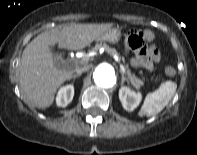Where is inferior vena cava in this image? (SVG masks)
I'll use <instances>...</instances> for the list:
<instances>
[{
  "mask_svg": "<svg viewBox=\"0 0 197 155\" xmlns=\"http://www.w3.org/2000/svg\"><path fill=\"white\" fill-rule=\"evenodd\" d=\"M89 69L88 65H85L83 67L77 68L75 71L77 72V74H82L83 72L87 71Z\"/></svg>",
  "mask_w": 197,
  "mask_h": 155,
  "instance_id": "inferior-vena-cava-1",
  "label": "inferior vena cava"
}]
</instances>
